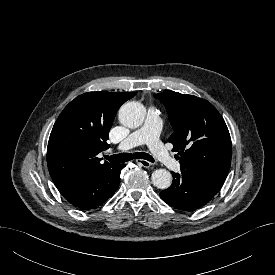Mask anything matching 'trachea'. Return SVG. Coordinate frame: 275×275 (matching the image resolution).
Here are the masks:
<instances>
[{
  "mask_svg": "<svg viewBox=\"0 0 275 275\" xmlns=\"http://www.w3.org/2000/svg\"><path fill=\"white\" fill-rule=\"evenodd\" d=\"M105 158L110 161L112 164L128 162L132 159H144L150 162H154V159L151 155L144 152H135V153H120L111 156H105Z\"/></svg>",
  "mask_w": 275,
  "mask_h": 275,
  "instance_id": "1",
  "label": "trachea"
}]
</instances>
